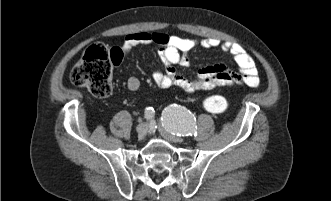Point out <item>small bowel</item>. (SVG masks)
<instances>
[{"label": "small bowel", "mask_w": 331, "mask_h": 201, "mask_svg": "<svg viewBox=\"0 0 331 201\" xmlns=\"http://www.w3.org/2000/svg\"><path fill=\"white\" fill-rule=\"evenodd\" d=\"M157 44L160 46L159 56L164 66V71L155 70L152 74L154 82L162 87H179L187 93L199 90L212 89L216 86L246 85L256 87L259 84L258 69L254 59L238 43L222 42L216 38L194 40L179 36H172L160 32H135L128 34L122 44V52L127 55L138 45ZM220 48L229 53L239 71H233L223 64L208 65L198 70L196 77L188 80L181 76L175 66L188 67L190 62L187 53L196 48ZM140 87L138 77L132 75L127 79V88L135 92Z\"/></svg>", "instance_id": "obj_1"}]
</instances>
